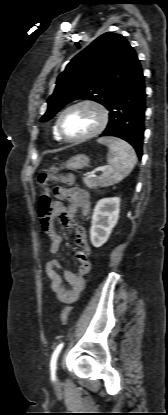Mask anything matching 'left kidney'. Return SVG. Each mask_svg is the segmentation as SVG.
I'll use <instances>...</instances> for the list:
<instances>
[{"instance_id":"5707ae66","label":"left kidney","mask_w":168,"mask_h":415,"mask_svg":"<svg viewBox=\"0 0 168 415\" xmlns=\"http://www.w3.org/2000/svg\"><path fill=\"white\" fill-rule=\"evenodd\" d=\"M120 212V198H104L97 202L92 215L90 240L94 247L105 244L117 224Z\"/></svg>"}]
</instances>
